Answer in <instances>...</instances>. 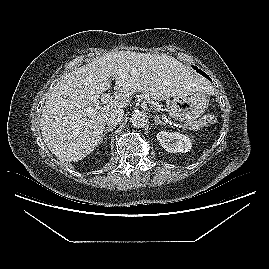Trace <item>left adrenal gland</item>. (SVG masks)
I'll use <instances>...</instances> for the list:
<instances>
[{"mask_svg":"<svg viewBox=\"0 0 269 269\" xmlns=\"http://www.w3.org/2000/svg\"><path fill=\"white\" fill-rule=\"evenodd\" d=\"M154 121H155V125H166V123L163 122V121L159 118V116H155Z\"/></svg>","mask_w":269,"mask_h":269,"instance_id":"a2214340","label":"left adrenal gland"}]
</instances>
